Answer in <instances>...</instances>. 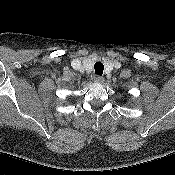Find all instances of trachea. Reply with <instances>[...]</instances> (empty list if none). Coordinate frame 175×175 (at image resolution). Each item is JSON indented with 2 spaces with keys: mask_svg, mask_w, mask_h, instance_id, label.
<instances>
[{
  "mask_svg": "<svg viewBox=\"0 0 175 175\" xmlns=\"http://www.w3.org/2000/svg\"><path fill=\"white\" fill-rule=\"evenodd\" d=\"M94 69H95V74L102 76L103 74V70H104V65L101 62H96L94 65Z\"/></svg>",
  "mask_w": 175,
  "mask_h": 175,
  "instance_id": "3493384b",
  "label": "trachea"
}]
</instances>
